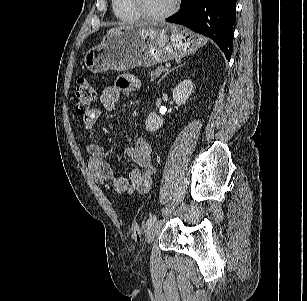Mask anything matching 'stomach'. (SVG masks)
Here are the masks:
<instances>
[{
  "instance_id": "obj_1",
  "label": "stomach",
  "mask_w": 307,
  "mask_h": 301,
  "mask_svg": "<svg viewBox=\"0 0 307 301\" xmlns=\"http://www.w3.org/2000/svg\"><path fill=\"white\" fill-rule=\"evenodd\" d=\"M204 43L203 37L181 25L149 23L127 26L107 33L100 45L85 53L83 65L92 73L150 67L190 55Z\"/></svg>"
}]
</instances>
